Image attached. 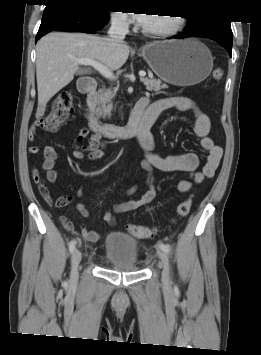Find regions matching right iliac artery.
I'll list each match as a JSON object with an SVG mask.
<instances>
[{"mask_svg":"<svg viewBox=\"0 0 261 355\" xmlns=\"http://www.w3.org/2000/svg\"><path fill=\"white\" fill-rule=\"evenodd\" d=\"M75 245H76V241L75 240H71L69 243V251L72 254L75 250Z\"/></svg>","mask_w":261,"mask_h":355,"instance_id":"1","label":"right iliac artery"}]
</instances>
